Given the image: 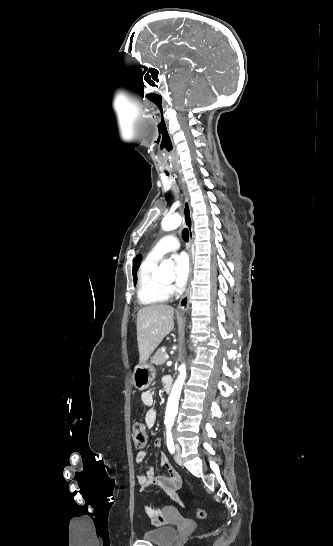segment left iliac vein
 <instances>
[{
	"instance_id": "4c4485c4",
	"label": "left iliac vein",
	"mask_w": 333,
	"mask_h": 546,
	"mask_svg": "<svg viewBox=\"0 0 333 546\" xmlns=\"http://www.w3.org/2000/svg\"><path fill=\"white\" fill-rule=\"evenodd\" d=\"M174 459L177 464L182 465V452L179 445H176Z\"/></svg>"
}]
</instances>
